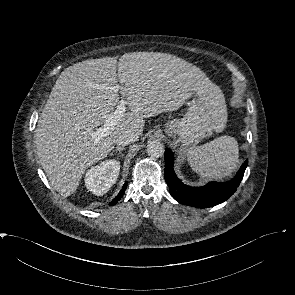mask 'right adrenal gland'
Wrapping results in <instances>:
<instances>
[{
  "instance_id": "obj_1",
  "label": "right adrenal gland",
  "mask_w": 295,
  "mask_h": 295,
  "mask_svg": "<svg viewBox=\"0 0 295 295\" xmlns=\"http://www.w3.org/2000/svg\"><path fill=\"white\" fill-rule=\"evenodd\" d=\"M124 149H125V147H123V146H118V147L115 148V150H113V151L110 153V155H113L114 152H119V154H120L121 151L124 150Z\"/></svg>"
}]
</instances>
